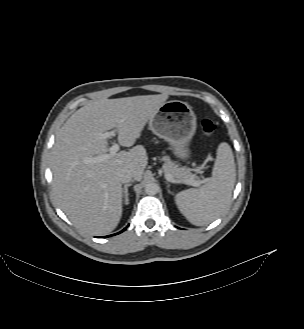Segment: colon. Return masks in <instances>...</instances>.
Wrapping results in <instances>:
<instances>
[{
	"mask_svg": "<svg viewBox=\"0 0 304 329\" xmlns=\"http://www.w3.org/2000/svg\"><path fill=\"white\" fill-rule=\"evenodd\" d=\"M200 128L205 136H211L215 131V125L209 119H203L200 123Z\"/></svg>",
	"mask_w": 304,
	"mask_h": 329,
	"instance_id": "5ec220e1",
	"label": "colon"
}]
</instances>
